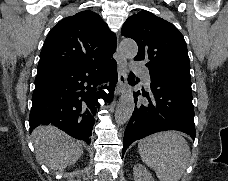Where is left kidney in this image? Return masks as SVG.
Masks as SVG:
<instances>
[{
	"instance_id": "5707ae66",
	"label": "left kidney",
	"mask_w": 228,
	"mask_h": 181,
	"mask_svg": "<svg viewBox=\"0 0 228 181\" xmlns=\"http://www.w3.org/2000/svg\"><path fill=\"white\" fill-rule=\"evenodd\" d=\"M133 175L134 181H154L151 173L143 165H134Z\"/></svg>"
}]
</instances>
